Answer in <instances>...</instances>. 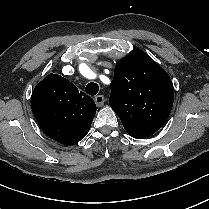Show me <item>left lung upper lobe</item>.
I'll use <instances>...</instances> for the list:
<instances>
[{"label":"left lung upper lobe","mask_w":209,"mask_h":209,"mask_svg":"<svg viewBox=\"0 0 209 209\" xmlns=\"http://www.w3.org/2000/svg\"><path fill=\"white\" fill-rule=\"evenodd\" d=\"M109 104L125 130L144 139L168 119L174 88L167 72L145 52L134 49L115 66Z\"/></svg>","instance_id":"1"}]
</instances>
